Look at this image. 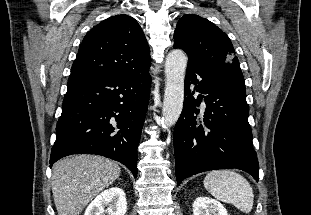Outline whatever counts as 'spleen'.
<instances>
[{"label":"spleen","mask_w":311,"mask_h":215,"mask_svg":"<svg viewBox=\"0 0 311 215\" xmlns=\"http://www.w3.org/2000/svg\"><path fill=\"white\" fill-rule=\"evenodd\" d=\"M204 187L216 199L231 203L244 213L252 210V187L242 175L233 170H214L207 173Z\"/></svg>","instance_id":"obj_1"}]
</instances>
